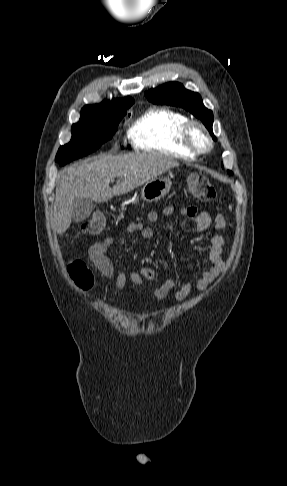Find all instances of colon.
I'll return each instance as SVG.
<instances>
[{
  "instance_id": "1",
  "label": "colon",
  "mask_w": 287,
  "mask_h": 486,
  "mask_svg": "<svg viewBox=\"0 0 287 486\" xmlns=\"http://www.w3.org/2000/svg\"><path fill=\"white\" fill-rule=\"evenodd\" d=\"M188 187L190 193L202 202H213L216 199L217 193L214 185L203 175H191L188 179ZM105 225L106 221L103 215L93 214L83 223L82 231L87 235H98L104 230ZM68 272L80 288L87 290L92 287L93 274L83 261H70Z\"/></svg>"
}]
</instances>
